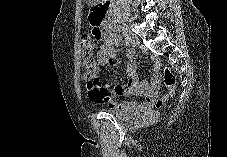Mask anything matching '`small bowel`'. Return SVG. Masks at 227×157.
<instances>
[{"instance_id": "1", "label": "small bowel", "mask_w": 227, "mask_h": 157, "mask_svg": "<svg viewBox=\"0 0 227 157\" xmlns=\"http://www.w3.org/2000/svg\"><path fill=\"white\" fill-rule=\"evenodd\" d=\"M99 33V39L102 40L97 52V61L102 66L114 67L118 64L115 57V45L118 41L115 40L113 33ZM125 73L128 81L125 84H115L110 87L101 85L99 81L94 85H87L88 97L91 101L97 104H106L110 108L137 111L140 109H147L154 104L155 97L160 88V78L158 73V62H156L153 76L150 82L140 81L136 71V64L130 60L125 65ZM126 94H136L144 97L141 104L134 102H118L115 97Z\"/></svg>"}]
</instances>
